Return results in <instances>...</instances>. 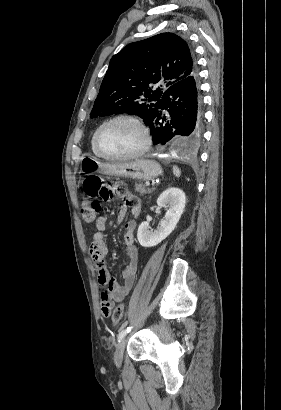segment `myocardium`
Returning <instances> with one entry per match:
<instances>
[{"mask_svg":"<svg viewBox=\"0 0 281 410\" xmlns=\"http://www.w3.org/2000/svg\"><path fill=\"white\" fill-rule=\"evenodd\" d=\"M120 120H126L129 122H132L135 124L140 131L142 132L143 135V144L142 146L135 152L129 153V154H124V155H112L106 153L100 146L99 143V136L101 131L108 125L120 121ZM93 142H94V147L97 153L105 159L108 160H127V159H133L140 157L144 155L151 147L152 144V137L150 135V131L148 127L144 124L142 120H140L138 117L131 115V114H118L106 121H104L94 132L93 134Z\"/></svg>","mask_w":281,"mask_h":410,"instance_id":"myocardium-1","label":"myocardium"}]
</instances>
